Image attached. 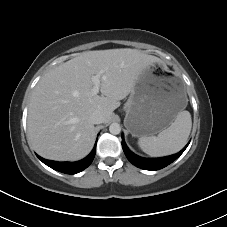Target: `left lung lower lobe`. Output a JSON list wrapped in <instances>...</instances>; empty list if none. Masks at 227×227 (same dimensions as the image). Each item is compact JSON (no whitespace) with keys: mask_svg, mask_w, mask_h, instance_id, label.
<instances>
[{"mask_svg":"<svg viewBox=\"0 0 227 227\" xmlns=\"http://www.w3.org/2000/svg\"><path fill=\"white\" fill-rule=\"evenodd\" d=\"M187 146L188 144L179 153L171 156H167L163 158H154V159L142 158L140 156L135 155L129 150L122 135V148L126 157L133 165L145 170H152V171L159 170L168 166L184 152Z\"/></svg>","mask_w":227,"mask_h":227,"instance_id":"obj_1","label":"left lung lower lobe"}]
</instances>
